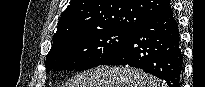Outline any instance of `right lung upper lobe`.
Segmentation results:
<instances>
[{
  "label": "right lung upper lobe",
  "mask_w": 205,
  "mask_h": 87,
  "mask_svg": "<svg viewBox=\"0 0 205 87\" xmlns=\"http://www.w3.org/2000/svg\"><path fill=\"white\" fill-rule=\"evenodd\" d=\"M169 8L168 0H71L61 15L53 43L100 29L135 30Z\"/></svg>",
  "instance_id": "right-lung-upper-lobe-1"
}]
</instances>
